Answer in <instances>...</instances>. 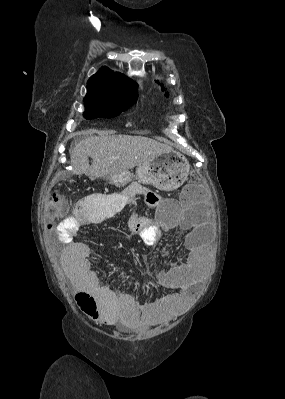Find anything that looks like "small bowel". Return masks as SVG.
<instances>
[{
  "mask_svg": "<svg viewBox=\"0 0 285 399\" xmlns=\"http://www.w3.org/2000/svg\"><path fill=\"white\" fill-rule=\"evenodd\" d=\"M147 193L140 185L131 184L120 194L81 198L71 207V217L59 228L76 233L81 228L99 225L128 209L127 229L139 232L145 243L155 244L161 238V227L156 221L141 217L136 212V197ZM155 207L161 209L162 204ZM191 210L196 215L194 206ZM178 226L177 221L172 224L173 228ZM200 238L198 231L188 233L184 238L183 260H174L167 272H157L158 284L176 292L158 296L151 303H139L129 293L102 285L90 267L89 258L93 250L85 242L65 244L61 250V261L70 278L75 302L91 319L108 325L126 322L146 328L178 316L191 303L206 267ZM146 290L153 291V286L147 285ZM91 303L94 305L91 306Z\"/></svg>",
  "mask_w": 285,
  "mask_h": 399,
  "instance_id": "obj_1",
  "label": "small bowel"
}]
</instances>
